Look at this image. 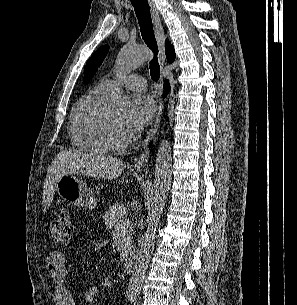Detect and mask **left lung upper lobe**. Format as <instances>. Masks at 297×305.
<instances>
[{
  "label": "left lung upper lobe",
  "instance_id": "5c2ea615",
  "mask_svg": "<svg viewBox=\"0 0 297 305\" xmlns=\"http://www.w3.org/2000/svg\"><path fill=\"white\" fill-rule=\"evenodd\" d=\"M108 51H109L108 45L102 46L87 61L85 69H84V83H88L90 81L92 76L98 70V67L103 62Z\"/></svg>",
  "mask_w": 297,
  "mask_h": 305
}]
</instances>
